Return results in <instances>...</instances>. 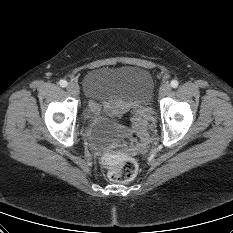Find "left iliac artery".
<instances>
[{
	"label": "left iliac artery",
	"instance_id": "44dca946",
	"mask_svg": "<svg viewBox=\"0 0 233 233\" xmlns=\"http://www.w3.org/2000/svg\"><path fill=\"white\" fill-rule=\"evenodd\" d=\"M170 85L172 88H176L179 85V82L177 80H172Z\"/></svg>",
	"mask_w": 233,
	"mask_h": 233
}]
</instances>
